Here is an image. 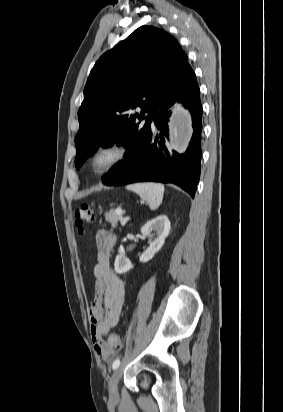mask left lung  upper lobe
<instances>
[{
  "label": "left lung upper lobe",
  "instance_id": "1",
  "mask_svg": "<svg viewBox=\"0 0 283 412\" xmlns=\"http://www.w3.org/2000/svg\"><path fill=\"white\" fill-rule=\"evenodd\" d=\"M192 71L176 39L142 26L103 54L94 65L78 111L76 169L97 149L115 142L127 147L146 130L159 106Z\"/></svg>",
  "mask_w": 283,
  "mask_h": 412
}]
</instances>
